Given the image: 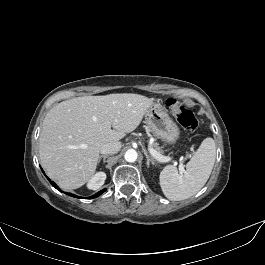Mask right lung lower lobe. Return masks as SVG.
<instances>
[{"instance_id": "98d812e1", "label": "right lung lower lobe", "mask_w": 265, "mask_h": 265, "mask_svg": "<svg viewBox=\"0 0 265 265\" xmlns=\"http://www.w3.org/2000/svg\"><path fill=\"white\" fill-rule=\"evenodd\" d=\"M42 172H43V170H42ZM48 180L50 181L49 178H48ZM50 183L52 184L53 187H55L56 189L60 190V189L58 188V186H57L54 182L50 181ZM105 190H106V189H103V190L99 191L98 193H96L95 195H93V196H91V197H89V198H90V199H91V198H96V197H98L99 195H101ZM67 194L70 195V196H72V197L81 198V197H79V196H77V195H74V194H71V193H67Z\"/></svg>"}]
</instances>
